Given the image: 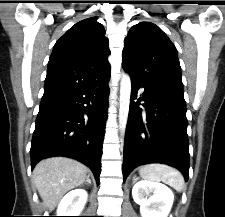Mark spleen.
I'll return each instance as SVG.
<instances>
[{
    "mask_svg": "<svg viewBox=\"0 0 225 217\" xmlns=\"http://www.w3.org/2000/svg\"><path fill=\"white\" fill-rule=\"evenodd\" d=\"M139 174L142 178L150 181H162L178 192H181L184 187L183 175L175 168L165 164L152 163L144 165L139 169Z\"/></svg>",
    "mask_w": 225,
    "mask_h": 217,
    "instance_id": "3e777b00",
    "label": "spleen"
}]
</instances>
